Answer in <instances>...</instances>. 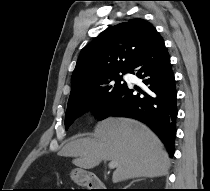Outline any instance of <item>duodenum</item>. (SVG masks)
<instances>
[{"label":"duodenum","mask_w":210,"mask_h":191,"mask_svg":"<svg viewBox=\"0 0 210 191\" xmlns=\"http://www.w3.org/2000/svg\"><path fill=\"white\" fill-rule=\"evenodd\" d=\"M77 180L85 184L91 191H108L104 182L94 174H90L83 169L76 170Z\"/></svg>","instance_id":"obj_1"}]
</instances>
